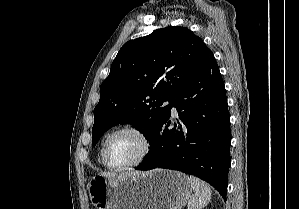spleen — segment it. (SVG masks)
Instances as JSON below:
<instances>
[{
    "label": "spleen",
    "mask_w": 299,
    "mask_h": 209,
    "mask_svg": "<svg viewBox=\"0 0 299 209\" xmlns=\"http://www.w3.org/2000/svg\"><path fill=\"white\" fill-rule=\"evenodd\" d=\"M189 181L193 189V194L188 201V209H202L211 199V189L204 181L195 176H190Z\"/></svg>",
    "instance_id": "1"
}]
</instances>
